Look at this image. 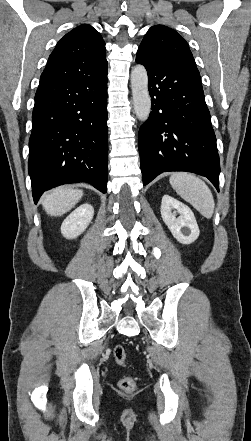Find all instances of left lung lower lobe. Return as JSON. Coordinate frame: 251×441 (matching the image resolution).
Listing matches in <instances>:
<instances>
[{"instance_id": "obj_1", "label": "left lung lower lobe", "mask_w": 251, "mask_h": 441, "mask_svg": "<svg viewBox=\"0 0 251 441\" xmlns=\"http://www.w3.org/2000/svg\"><path fill=\"white\" fill-rule=\"evenodd\" d=\"M136 62L148 71L152 101L138 138L143 184L162 172L187 171L207 177L219 191L220 160L200 74L140 54Z\"/></svg>"}]
</instances>
